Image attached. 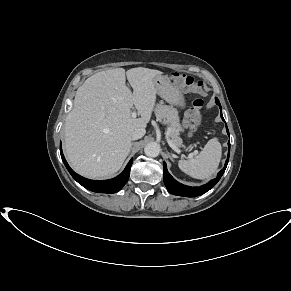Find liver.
<instances>
[{
	"instance_id": "liver-1",
	"label": "liver",
	"mask_w": 291,
	"mask_h": 291,
	"mask_svg": "<svg viewBox=\"0 0 291 291\" xmlns=\"http://www.w3.org/2000/svg\"><path fill=\"white\" fill-rule=\"evenodd\" d=\"M158 70L138 67L98 72L80 86L64 124L65 152L71 167L88 178L116 173L131 147V135L150 121ZM126 77L133 93L126 86ZM135 106L140 118L131 117Z\"/></svg>"
}]
</instances>
